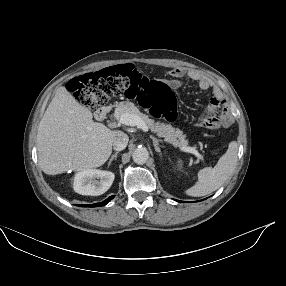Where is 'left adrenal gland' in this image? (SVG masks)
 I'll list each match as a JSON object with an SVG mask.
<instances>
[{
	"label": "left adrenal gland",
	"instance_id": "left-adrenal-gland-1",
	"mask_svg": "<svg viewBox=\"0 0 286 286\" xmlns=\"http://www.w3.org/2000/svg\"><path fill=\"white\" fill-rule=\"evenodd\" d=\"M150 138L153 140V145H154L155 151L159 152L160 156H161V150H160V147H159V143L162 142V140H159V139L155 138L152 135L150 136Z\"/></svg>",
	"mask_w": 286,
	"mask_h": 286
}]
</instances>
